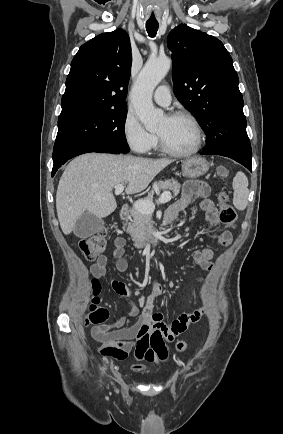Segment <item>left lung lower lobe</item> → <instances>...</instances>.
Returning a JSON list of instances; mask_svg holds the SVG:
<instances>
[{
	"label": "left lung lower lobe",
	"mask_w": 283,
	"mask_h": 434,
	"mask_svg": "<svg viewBox=\"0 0 283 434\" xmlns=\"http://www.w3.org/2000/svg\"><path fill=\"white\" fill-rule=\"evenodd\" d=\"M201 154L212 155V154H208L205 151H203ZM239 163H241L242 165H244L246 168H248L251 171V167H252L251 159H243V160H240Z\"/></svg>",
	"instance_id": "left-lung-lower-lobe-1"
}]
</instances>
